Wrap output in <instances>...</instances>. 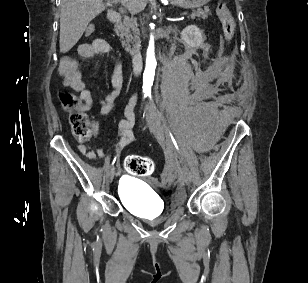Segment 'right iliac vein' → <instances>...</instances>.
Returning <instances> with one entry per match:
<instances>
[{
	"label": "right iliac vein",
	"instance_id": "obj_1",
	"mask_svg": "<svg viewBox=\"0 0 308 283\" xmlns=\"http://www.w3.org/2000/svg\"><path fill=\"white\" fill-rule=\"evenodd\" d=\"M114 175H115V168L113 167V168L110 170V172H109V179H110V181L113 180Z\"/></svg>",
	"mask_w": 308,
	"mask_h": 283
}]
</instances>
